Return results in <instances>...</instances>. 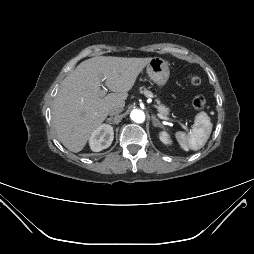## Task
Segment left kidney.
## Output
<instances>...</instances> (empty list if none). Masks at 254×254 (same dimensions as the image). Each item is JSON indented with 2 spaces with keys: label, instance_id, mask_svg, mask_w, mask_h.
<instances>
[{
  "label": "left kidney",
  "instance_id": "left-kidney-1",
  "mask_svg": "<svg viewBox=\"0 0 254 254\" xmlns=\"http://www.w3.org/2000/svg\"><path fill=\"white\" fill-rule=\"evenodd\" d=\"M159 138L160 140L164 143V144H171V139H170V136L167 132L165 131H162L160 134H159Z\"/></svg>",
  "mask_w": 254,
  "mask_h": 254
}]
</instances>
